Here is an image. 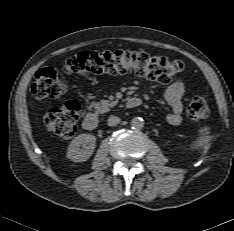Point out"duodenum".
I'll return each instance as SVG.
<instances>
[{"label": "duodenum", "mask_w": 234, "mask_h": 231, "mask_svg": "<svg viewBox=\"0 0 234 231\" xmlns=\"http://www.w3.org/2000/svg\"><path fill=\"white\" fill-rule=\"evenodd\" d=\"M142 104V100L138 97H131L127 100V106L129 108H136ZM99 120L95 113H87L83 119V127L86 130H94L98 127Z\"/></svg>", "instance_id": "obj_1"}]
</instances>
